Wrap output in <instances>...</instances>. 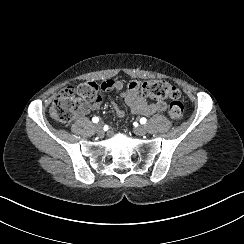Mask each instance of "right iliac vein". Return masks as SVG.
Listing matches in <instances>:
<instances>
[{
  "mask_svg": "<svg viewBox=\"0 0 244 244\" xmlns=\"http://www.w3.org/2000/svg\"><path fill=\"white\" fill-rule=\"evenodd\" d=\"M94 127H95V130H96V132L98 134H103L104 133L103 126H102L101 122L97 123Z\"/></svg>",
  "mask_w": 244,
  "mask_h": 244,
  "instance_id": "obj_1",
  "label": "right iliac vein"
}]
</instances>
